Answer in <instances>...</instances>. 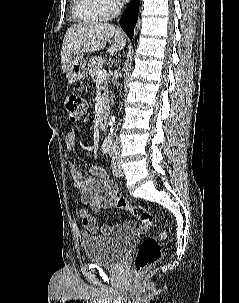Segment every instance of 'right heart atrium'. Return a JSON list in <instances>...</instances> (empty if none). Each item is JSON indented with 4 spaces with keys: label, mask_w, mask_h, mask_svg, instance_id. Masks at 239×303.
Wrapping results in <instances>:
<instances>
[{
    "label": "right heart atrium",
    "mask_w": 239,
    "mask_h": 303,
    "mask_svg": "<svg viewBox=\"0 0 239 303\" xmlns=\"http://www.w3.org/2000/svg\"><path fill=\"white\" fill-rule=\"evenodd\" d=\"M97 13L103 18L113 17L120 10L119 0H93Z\"/></svg>",
    "instance_id": "1"
}]
</instances>
